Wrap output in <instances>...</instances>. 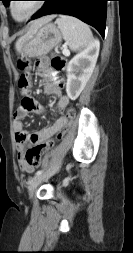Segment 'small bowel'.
Listing matches in <instances>:
<instances>
[{"label":"small bowel","mask_w":133,"mask_h":253,"mask_svg":"<svg viewBox=\"0 0 133 253\" xmlns=\"http://www.w3.org/2000/svg\"><path fill=\"white\" fill-rule=\"evenodd\" d=\"M36 69L38 75L44 79L43 93L47 96L56 97L55 110L58 112L63 111L70 102L69 97L62 94L61 91L63 88V79L57 72L50 68L49 60L46 57L37 60ZM35 100V97H22V103L16 109L13 120L18 162L20 167L27 173H31L34 170V167L29 165L26 160L27 151L49 140L58 133L67 122L65 116H60L50 126L44 127L33 133L27 131L24 128L23 120L31 113L42 114L45 111Z\"/></svg>","instance_id":"c3829d8e"}]
</instances>
